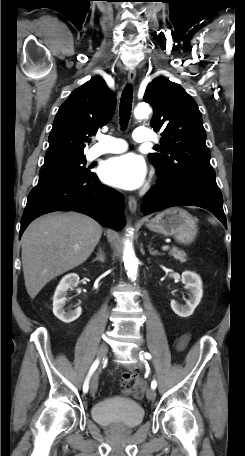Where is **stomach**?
Masks as SVG:
<instances>
[{
	"label": "stomach",
	"mask_w": 245,
	"mask_h": 456,
	"mask_svg": "<svg viewBox=\"0 0 245 456\" xmlns=\"http://www.w3.org/2000/svg\"><path fill=\"white\" fill-rule=\"evenodd\" d=\"M146 227L153 232L173 236L183 244L191 243L198 231L192 215L179 207L169 208L158 213L146 222Z\"/></svg>",
	"instance_id": "0dacf381"
}]
</instances>
